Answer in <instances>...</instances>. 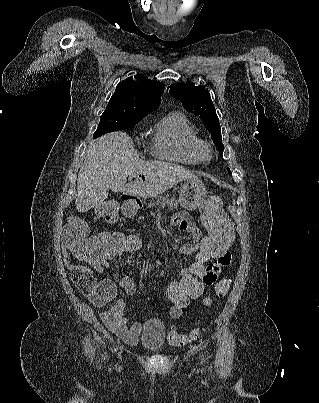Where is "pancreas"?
Here are the masks:
<instances>
[{
	"label": "pancreas",
	"mask_w": 319,
	"mask_h": 403,
	"mask_svg": "<svg viewBox=\"0 0 319 403\" xmlns=\"http://www.w3.org/2000/svg\"><path fill=\"white\" fill-rule=\"evenodd\" d=\"M158 206L159 208H164L168 206L170 209H177L178 202L174 198H170L168 194L166 195H159L155 197L154 202L149 204V207Z\"/></svg>",
	"instance_id": "pancreas-1"
}]
</instances>
